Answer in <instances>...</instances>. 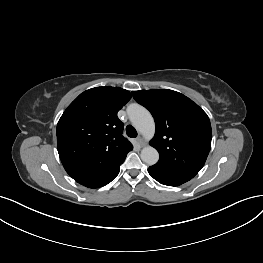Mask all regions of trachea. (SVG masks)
<instances>
[{"instance_id":"3493384b","label":"trachea","mask_w":263,"mask_h":263,"mask_svg":"<svg viewBox=\"0 0 263 263\" xmlns=\"http://www.w3.org/2000/svg\"><path fill=\"white\" fill-rule=\"evenodd\" d=\"M126 134H127L129 137H131V138L137 137V131H136V129H135L133 126H131V125H128V126L126 127Z\"/></svg>"}]
</instances>
